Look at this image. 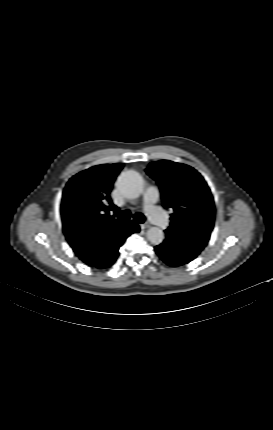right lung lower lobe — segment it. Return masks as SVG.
<instances>
[{
  "label": "right lung lower lobe",
  "mask_w": 273,
  "mask_h": 430,
  "mask_svg": "<svg viewBox=\"0 0 273 430\" xmlns=\"http://www.w3.org/2000/svg\"><path fill=\"white\" fill-rule=\"evenodd\" d=\"M139 232V226L134 222L123 230L116 233H106L100 236V240L91 249L90 256L86 264L96 268H106L111 266L118 257V249L125 239L132 233ZM74 249V245H71Z\"/></svg>",
  "instance_id": "1"
}]
</instances>
